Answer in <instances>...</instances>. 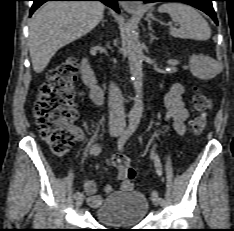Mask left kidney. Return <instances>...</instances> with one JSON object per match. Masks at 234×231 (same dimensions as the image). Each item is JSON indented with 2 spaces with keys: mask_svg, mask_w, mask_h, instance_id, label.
I'll use <instances>...</instances> for the list:
<instances>
[{
  "mask_svg": "<svg viewBox=\"0 0 234 231\" xmlns=\"http://www.w3.org/2000/svg\"><path fill=\"white\" fill-rule=\"evenodd\" d=\"M189 66L192 75L203 80L214 78L223 69L222 64L213 58L205 55L195 54L190 56Z\"/></svg>",
  "mask_w": 234,
  "mask_h": 231,
  "instance_id": "1",
  "label": "left kidney"
}]
</instances>
